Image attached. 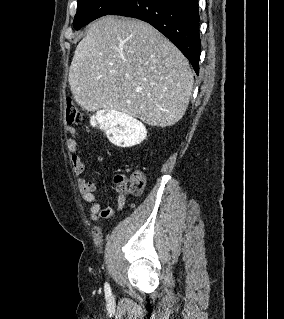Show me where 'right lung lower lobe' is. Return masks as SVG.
<instances>
[{
    "mask_svg": "<svg viewBox=\"0 0 284 319\" xmlns=\"http://www.w3.org/2000/svg\"><path fill=\"white\" fill-rule=\"evenodd\" d=\"M110 15L134 17L150 23L179 48L199 73L198 0H130Z\"/></svg>",
    "mask_w": 284,
    "mask_h": 319,
    "instance_id": "right-lung-lower-lobe-1",
    "label": "right lung lower lobe"
}]
</instances>
